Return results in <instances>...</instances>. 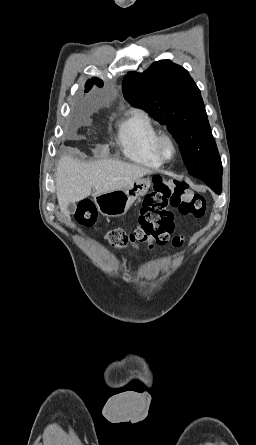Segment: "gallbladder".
<instances>
[{
  "label": "gallbladder",
  "mask_w": 256,
  "mask_h": 445,
  "mask_svg": "<svg viewBox=\"0 0 256 445\" xmlns=\"http://www.w3.org/2000/svg\"><path fill=\"white\" fill-rule=\"evenodd\" d=\"M75 209H76V205H75L74 203H70V204L68 205V212H69L70 214H73V213L75 212Z\"/></svg>",
  "instance_id": "obj_1"
}]
</instances>
